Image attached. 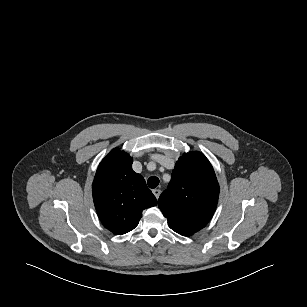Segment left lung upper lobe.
<instances>
[{"label": "left lung upper lobe", "instance_id": "5c2ea615", "mask_svg": "<svg viewBox=\"0 0 307 307\" xmlns=\"http://www.w3.org/2000/svg\"><path fill=\"white\" fill-rule=\"evenodd\" d=\"M218 196L219 184L209 160L200 152H190L176 162L158 206L172 230L191 236L209 222Z\"/></svg>", "mask_w": 307, "mask_h": 307}]
</instances>
